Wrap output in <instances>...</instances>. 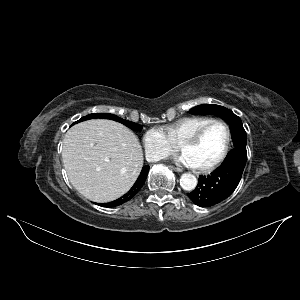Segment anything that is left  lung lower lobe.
Returning <instances> with one entry per match:
<instances>
[{"instance_id": "1", "label": "left lung lower lobe", "mask_w": 300, "mask_h": 300, "mask_svg": "<svg viewBox=\"0 0 300 300\" xmlns=\"http://www.w3.org/2000/svg\"><path fill=\"white\" fill-rule=\"evenodd\" d=\"M246 159V150L232 149L220 167L208 176H199L197 187L188 197L200 207H210L224 201L236 189Z\"/></svg>"}]
</instances>
